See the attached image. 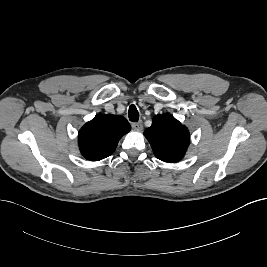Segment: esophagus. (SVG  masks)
Masks as SVG:
<instances>
[{
	"mask_svg": "<svg viewBox=\"0 0 267 267\" xmlns=\"http://www.w3.org/2000/svg\"><path fill=\"white\" fill-rule=\"evenodd\" d=\"M132 128L135 130H142L143 124H142V122H134V123H132Z\"/></svg>",
	"mask_w": 267,
	"mask_h": 267,
	"instance_id": "34e87169",
	"label": "esophagus"
}]
</instances>
